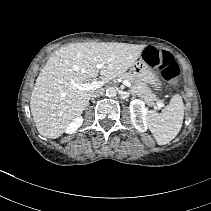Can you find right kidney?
I'll return each mask as SVG.
<instances>
[{"mask_svg": "<svg viewBox=\"0 0 211 211\" xmlns=\"http://www.w3.org/2000/svg\"><path fill=\"white\" fill-rule=\"evenodd\" d=\"M83 118L81 116L74 119L65 129V132L68 134H73L76 130L82 125Z\"/></svg>", "mask_w": 211, "mask_h": 211, "instance_id": "right-kidney-1", "label": "right kidney"}]
</instances>
